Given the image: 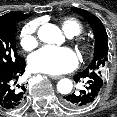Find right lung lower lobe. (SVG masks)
<instances>
[{
  "label": "right lung lower lobe",
  "mask_w": 117,
  "mask_h": 117,
  "mask_svg": "<svg viewBox=\"0 0 117 117\" xmlns=\"http://www.w3.org/2000/svg\"><path fill=\"white\" fill-rule=\"evenodd\" d=\"M24 71V59L11 66L0 65V109L10 110L22 105L25 87L16 83Z\"/></svg>",
  "instance_id": "1"
}]
</instances>
